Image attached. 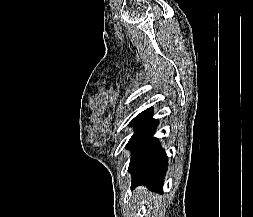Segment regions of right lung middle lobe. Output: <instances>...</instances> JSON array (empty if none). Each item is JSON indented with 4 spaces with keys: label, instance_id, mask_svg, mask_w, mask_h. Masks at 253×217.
<instances>
[{
    "label": "right lung middle lobe",
    "instance_id": "dd1d6c3e",
    "mask_svg": "<svg viewBox=\"0 0 253 217\" xmlns=\"http://www.w3.org/2000/svg\"><path fill=\"white\" fill-rule=\"evenodd\" d=\"M147 110H145L144 112L140 113L137 117H135L131 122H130V125L133 126L135 125V123L144 115V113L146 112Z\"/></svg>",
    "mask_w": 253,
    "mask_h": 217
}]
</instances>
